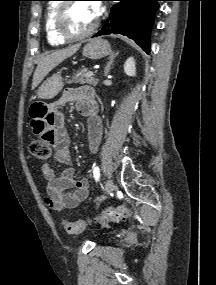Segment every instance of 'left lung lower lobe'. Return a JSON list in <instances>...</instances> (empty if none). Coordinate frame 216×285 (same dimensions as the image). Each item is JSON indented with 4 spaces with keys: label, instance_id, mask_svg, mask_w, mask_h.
<instances>
[{
    "label": "left lung lower lobe",
    "instance_id": "1",
    "mask_svg": "<svg viewBox=\"0 0 216 285\" xmlns=\"http://www.w3.org/2000/svg\"><path fill=\"white\" fill-rule=\"evenodd\" d=\"M115 1V0H108ZM103 28L93 37L122 34L132 38L143 50L150 52V30L153 17L162 0H116Z\"/></svg>",
    "mask_w": 216,
    "mask_h": 285
}]
</instances>
